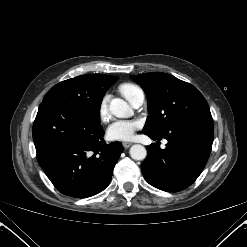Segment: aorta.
I'll return each instance as SVG.
<instances>
[{
    "mask_svg": "<svg viewBox=\"0 0 247 247\" xmlns=\"http://www.w3.org/2000/svg\"><path fill=\"white\" fill-rule=\"evenodd\" d=\"M109 110L118 118L129 117L132 112L128 103L120 98L111 100ZM130 156L134 160H144L147 156V150L143 145L135 144L130 148Z\"/></svg>",
    "mask_w": 247,
    "mask_h": 247,
    "instance_id": "762f6f07",
    "label": "aorta"
}]
</instances>
